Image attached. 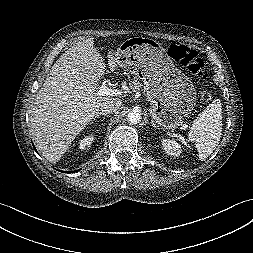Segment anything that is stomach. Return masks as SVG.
Listing matches in <instances>:
<instances>
[{
    "label": "stomach",
    "instance_id": "0dacf381",
    "mask_svg": "<svg viewBox=\"0 0 253 253\" xmlns=\"http://www.w3.org/2000/svg\"><path fill=\"white\" fill-rule=\"evenodd\" d=\"M116 54L121 67L143 80L150 114L157 125L165 129L179 126L196 104V91L161 43L133 37L122 42Z\"/></svg>",
    "mask_w": 253,
    "mask_h": 253
}]
</instances>
